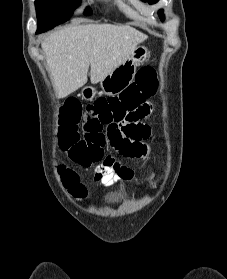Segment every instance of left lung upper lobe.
Returning a JSON list of instances; mask_svg holds the SVG:
<instances>
[{
  "label": "left lung upper lobe",
  "mask_w": 227,
  "mask_h": 279,
  "mask_svg": "<svg viewBox=\"0 0 227 279\" xmlns=\"http://www.w3.org/2000/svg\"><path fill=\"white\" fill-rule=\"evenodd\" d=\"M143 1H148L150 4L158 2V0H143ZM159 16H160L161 20L163 21L164 20V15H163L162 10L159 11Z\"/></svg>",
  "instance_id": "left-lung-upper-lobe-1"
}]
</instances>
